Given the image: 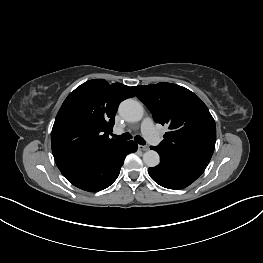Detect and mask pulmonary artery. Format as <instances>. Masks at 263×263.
Returning <instances> with one entry per match:
<instances>
[{
  "instance_id": "pulmonary-artery-1",
  "label": "pulmonary artery",
  "mask_w": 263,
  "mask_h": 263,
  "mask_svg": "<svg viewBox=\"0 0 263 263\" xmlns=\"http://www.w3.org/2000/svg\"><path fill=\"white\" fill-rule=\"evenodd\" d=\"M141 130L145 138L152 145H158L161 142V137L156 131L151 118L147 117L143 120L142 125H141ZM120 132L121 131H117V133H120Z\"/></svg>"
}]
</instances>
